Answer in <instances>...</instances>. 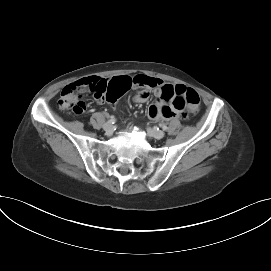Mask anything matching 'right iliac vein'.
<instances>
[{
  "instance_id": "right-iliac-vein-1",
  "label": "right iliac vein",
  "mask_w": 271,
  "mask_h": 271,
  "mask_svg": "<svg viewBox=\"0 0 271 271\" xmlns=\"http://www.w3.org/2000/svg\"><path fill=\"white\" fill-rule=\"evenodd\" d=\"M103 129L106 133H111L113 126L110 123H106V124H104Z\"/></svg>"
}]
</instances>
